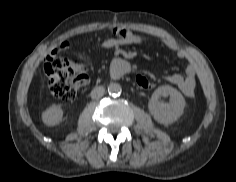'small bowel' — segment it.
Listing matches in <instances>:
<instances>
[{
  "label": "small bowel",
  "mask_w": 236,
  "mask_h": 182,
  "mask_svg": "<svg viewBox=\"0 0 236 182\" xmlns=\"http://www.w3.org/2000/svg\"><path fill=\"white\" fill-rule=\"evenodd\" d=\"M114 37L108 38L103 42V48L110 50L123 45H140L146 41V38L132 33L130 30L116 27L113 29ZM164 46L174 53L180 59L189 60V55L181 49L175 41L164 40ZM70 48V43L64 41L57 48L58 51H64ZM165 80L175 85L185 96L193 97L196 86V68L192 61L188 62L184 74H168L164 76Z\"/></svg>",
  "instance_id": "small-bowel-1"
}]
</instances>
